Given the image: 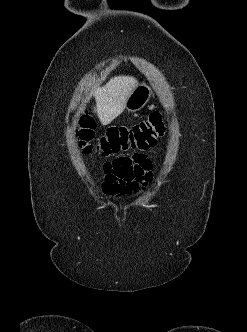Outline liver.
<instances>
[{
    "mask_svg": "<svg viewBox=\"0 0 247 332\" xmlns=\"http://www.w3.org/2000/svg\"><path fill=\"white\" fill-rule=\"evenodd\" d=\"M138 81L131 76H116L95 90L96 111L102 125L110 124L125 109L126 101Z\"/></svg>",
    "mask_w": 247,
    "mask_h": 332,
    "instance_id": "liver-1",
    "label": "liver"
}]
</instances>
